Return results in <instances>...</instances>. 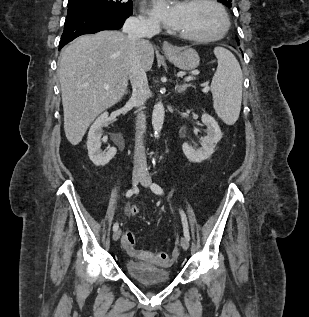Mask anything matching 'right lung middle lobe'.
Returning <instances> with one entry per match:
<instances>
[{"instance_id":"dd1d6c3e","label":"right lung middle lobe","mask_w":309,"mask_h":317,"mask_svg":"<svg viewBox=\"0 0 309 317\" xmlns=\"http://www.w3.org/2000/svg\"><path fill=\"white\" fill-rule=\"evenodd\" d=\"M70 8H88L106 11H114L121 14H132L133 4L129 0H69L68 9Z\"/></svg>"}]
</instances>
